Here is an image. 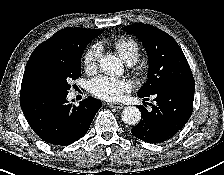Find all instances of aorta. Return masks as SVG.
<instances>
[{"mask_svg":"<svg viewBox=\"0 0 224 175\" xmlns=\"http://www.w3.org/2000/svg\"><path fill=\"white\" fill-rule=\"evenodd\" d=\"M101 69L108 75H122L123 64L115 55L107 54L100 60ZM122 121L128 125H135L141 119V113L135 106L125 107L121 113Z\"/></svg>","mask_w":224,"mask_h":175,"instance_id":"1","label":"aorta"}]
</instances>
